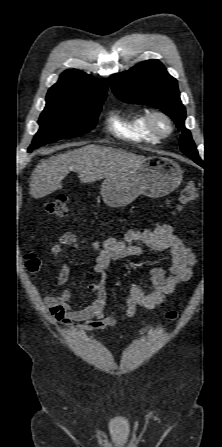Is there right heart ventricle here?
Here are the masks:
<instances>
[{
  "label": "right heart ventricle",
  "mask_w": 222,
  "mask_h": 447,
  "mask_svg": "<svg viewBox=\"0 0 222 447\" xmlns=\"http://www.w3.org/2000/svg\"><path fill=\"white\" fill-rule=\"evenodd\" d=\"M110 131L118 138L128 141L154 143V136L146 125V113L134 110H114L107 119Z\"/></svg>",
  "instance_id": "obj_1"
}]
</instances>
